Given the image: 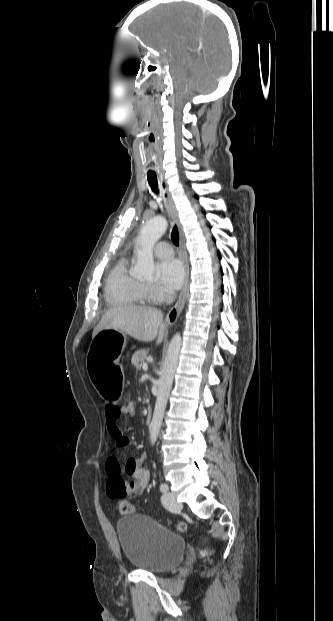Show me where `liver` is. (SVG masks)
Listing matches in <instances>:
<instances>
[{
    "instance_id": "6515ba94",
    "label": "liver",
    "mask_w": 333,
    "mask_h": 621,
    "mask_svg": "<svg viewBox=\"0 0 333 621\" xmlns=\"http://www.w3.org/2000/svg\"><path fill=\"white\" fill-rule=\"evenodd\" d=\"M105 329L119 330L143 342L157 338L159 345L164 338L163 314L147 306H119L109 309L95 327L92 337Z\"/></svg>"
}]
</instances>
